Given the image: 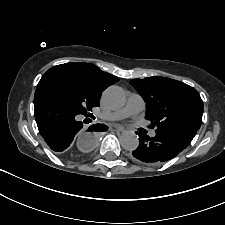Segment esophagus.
<instances>
[{"label": "esophagus", "instance_id": "esophagus-1", "mask_svg": "<svg viewBox=\"0 0 225 225\" xmlns=\"http://www.w3.org/2000/svg\"><path fill=\"white\" fill-rule=\"evenodd\" d=\"M114 128L117 132H123L124 131V129L121 126H118V125L114 126Z\"/></svg>", "mask_w": 225, "mask_h": 225}]
</instances>
